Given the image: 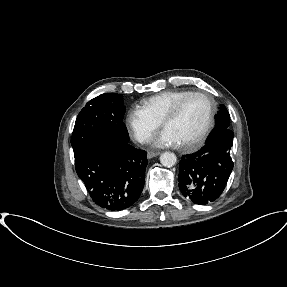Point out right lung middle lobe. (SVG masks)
I'll use <instances>...</instances> for the list:
<instances>
[{"instance_id": "1", "label": "right lung middle lobe", "mask_w": 287, "mask_h": 287, "mask_svg": "<svg viewBox=\"0 0 287 287\" xmlns=\"http://www.w3.org/2000/svg\"><path fill=\"white\" fill-rule=\"evenodd\" d=\"M121 94L106 93L90 100L77 116L71 145L74 153L96 140L128 142Z\"/></svg>"}]
</instances>
